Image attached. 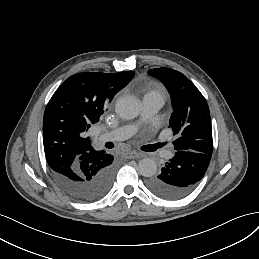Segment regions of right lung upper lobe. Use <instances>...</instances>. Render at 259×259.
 <instances>
[{
  "instance_id": "right-lung-upper-lobe-1",
  "label": "right lung upper lobe",
  "mask_w": 259,
  "mask_h": 259,
  "mask_svg": "<svg viewBox=\"0 0 259 259\" xmlns=\"http://www.w3.org/2000/svg\"><path fill=\"white\" fill-rule=\"evenodd\" d=\"M134 75V71L83 72L69 77L59 86L43 118L44 151L53 171L70 172L80 162L100 152L92 147L86 132L99 121L107 103Z\"/></svg>"
}]
</instances>
